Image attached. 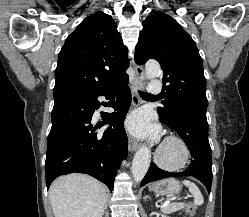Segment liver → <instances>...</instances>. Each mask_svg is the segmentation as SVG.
Listing matches in <instances>:
<instances>
[{
  "label": "liver",
  "mask_w": 249,
  "mask_h": 217,
  "mask_svg": "<svg viewBox=\"0 0 249 217\" xmlns=\"http://www.w3.org/2000/svg\"><path fill=\"white\" fill-rule=\"evenodd\" d=\"M49 198L54 217H102L106 189L84 174H69L50 186Z\"/></svg>",
  "instance_id": "6515ba94"
}]
</instances>
